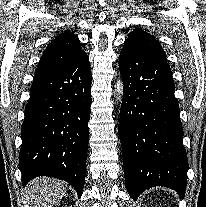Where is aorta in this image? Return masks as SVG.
Returning <instances> with one entry per match:
<instances>
[{
    "label": "aorta",
    "mask_w": 206,
    "mask_h": 207,
    "mask_svg": "<svg viewBox=\"0 0 206 207\" xmlns=\"http://www.w3.org/2000/svg\"><path fill=\"white\" fill-rule=\"evenodd\" d=\"M122 89H123L122 82L119 80L116 85V91L119 94L118 99H120L121 97L120 94H122Z\"/></svg>",
    "instance_id": "aorta-1"
}]
</instances>
